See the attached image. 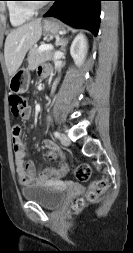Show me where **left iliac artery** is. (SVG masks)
<instances>
[{
	"label": "left iliac artery",
	"mask_w": 133,
	"mask_h": 253,
	"mask_svg": "<svg viewBox=\"0 0 133 253\" xmlns=\"http://www.w3.org/2000/svg\"><path fill=\"white\" fill-rule=\"evenodd\" d=\"M54 136H55L56 138H59V137H60V133H59L58 131H55V132H54Z\"/></svg>",
	"instance_id": "obj_1"
}]
</instances>
